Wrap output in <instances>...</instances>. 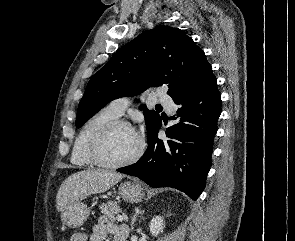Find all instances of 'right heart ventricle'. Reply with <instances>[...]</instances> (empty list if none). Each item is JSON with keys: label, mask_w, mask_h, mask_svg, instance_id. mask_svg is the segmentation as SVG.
<instances>
[{"label": "right heart ventricle", "mask_w": 295, "mask_h": 241, "mask_svg": "<svg viewBox=\"0 0 295 241\" xmlns=\"http://www.w3.org/2000/svg\"><path fill=\"white\" fill-rule=\"evenodd\" d=\"M109 109L104 108L90 117L79 131L72 148L71 163L77 167H90L95 163L89 155L90 143L107 123L118 119Z\"/></svg>", "instance_id": "e07e8e85"}]
</instances>
